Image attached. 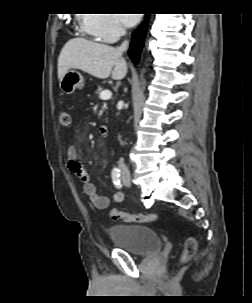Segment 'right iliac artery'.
I'll list each match as a JSON object with an SVG mask.
<instances>
[{
  "label": "right iliac artery",
  "mask_w": 252,
  "mask_h": 303,
  "mask_svg": "<svg viewBox=\"0 0 252 303\" xmlns=\"http://www.w3.org/2000/svg\"><path fill=\"white\" fill-rule=\"evenodd\" d=\"M112 180H113L114 185L117 188H121L122 187L121 178H120V170L118 168H114L112 170Z\"/></svg>",
  "instance_id": "1"
}]
</instances>
